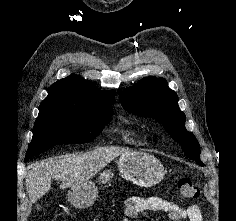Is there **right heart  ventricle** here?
Listing matches in <instances>:
<instances>
[{
    "instance_id": "e07e8e85",
    "label": "right heart ventricle",
    "mask_w": 236,
    "mask_h": 221,
    "mask_svg": "<svg viewBox=\"0 0 236 221\" xmlns=\"http://www.w3.org/2000/svg\"><path fill=\"white\" fill-rule=\"evenodd\" d=\"M123 140L129 144H137L140 140V132L136 129H129L123 132Z\"/></svg>"
}]
</instances>
